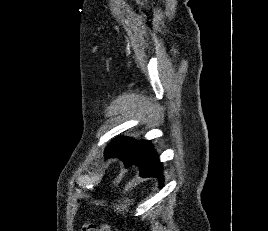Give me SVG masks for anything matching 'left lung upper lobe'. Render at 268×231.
Wrapping results in <instances>:
<instances>
[{
  "instance_id": "5c2ea615",
  "label": "left lung upper lobe",
  "mask_w": 268,
  "mask_h": 231,
  "mask_svg": "<svg viewBox=\"0 0 268 231\" xmlns=\"http://www.w3.org/2000/svg\"><path fill=\"white\" fill-rule=\"evenodd\" d=\"M149 141H133L130 138H118L115 141H113L109 146L108 149L111 151H120L128 149L129 147H133L135 149H141L143 148Z\"/></svg>"
}]
</instances>
